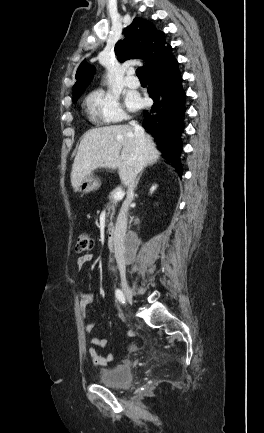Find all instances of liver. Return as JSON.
<instances>
[{
    "mask_svg": "<svg viewBox=\"0 0 264 433\" xmlns=\"http://www.w3.org/2000/svg\"><path fill=\"white\" fill-rule=\"evenodd\" d=\"M134 130L128 125L94 128L86 132L80 142L71 171L75 192L88 175L97 168L118 169L122 183L128 186L137 162ZM160 157L155 143L145 134L144 166L152 165Z\"/></svg>",
    "mask_w": 264,
    "mask_h": 433,
    "instance_id": "obj_1",
    "label": "liver"
}]
</instances>
